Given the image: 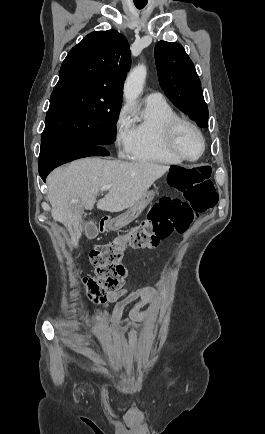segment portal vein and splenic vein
I'll use <instances>...</instances> for the list:
<instances>
[{"instance_id":"18ae733b","label":"portal vein and splenic vein","mask_w":265,"mask_h":434,"mask_svg":"<svg viewBox=\"0 0 265 434\" xmlns=\"http://www.w3.org/2000/svg\"><path fill=\"white\" fill-rule=\"evenodd\" d=\"M111 186H102L101 192H107ZM70 204H79V200H71Z\"/></svg>"}]
</instances>
